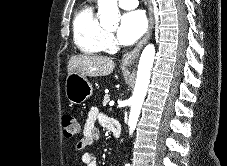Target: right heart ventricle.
Masks as SVG:
<instances>
[{"label": "right heart ventricle", "mask_w": 227, "mask_h": 166, "mask_svg": "<svg viewBox=\"0 0 227 166\" xmlns=\"http://www.w3.org/2000/svg\"><path fill=\"white\" fill-rule=\"evenodd\" d=\"M107 31L100 24L94 7L83 5L73 20V40L76 47L84 54H98L107 47Z\"/></svg>", "instance_id": "e07e8e85"}]
</instances>
